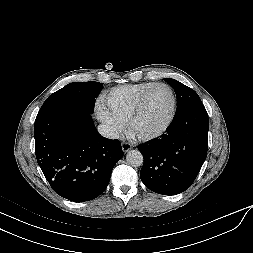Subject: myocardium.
<instances>
[{
  "label": "myocardium",
  "mask_w": 253,
  "mask_h": 253,
  "mask_svg": "<svg viewBox=\"0 0 253 253\" xmlns=\"http://www.w3.org/2000/svg\"><path fill=\"white\" fill-rule=\"evenodd\" d=\"M159 86H163V87L168 88L171 93V96H172V112H171L169 119L161 128H159L155 131H151V132H137V131H135L133 126H134L136 120L138 119V117L144 107L147 96L149 95V93L153 89H155L156 87H159ZM177 107H178L177 96L175 94L174 89L169 84L163 83V82L152 84L140 95L134 110L132 111L131 115L128 118V120L126 122L128 132L133 137H135L139 140H143V141L152 140V139L162 136L170 128V126L174 122L176 114H177Z\"/></svg>",
  "instance_id": "f54148a6"
}]
</instances>
